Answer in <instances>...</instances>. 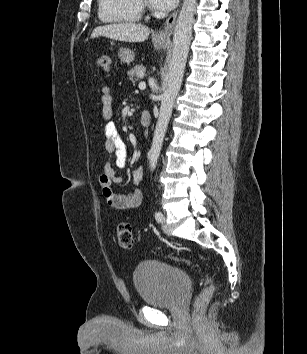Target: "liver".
Wrapping results in <instances>:
<instances>
[{"label":"liver","instance_id":"liver-1","mask_svg":"<svg viewBox=\"0 0 307 354\" xmlns=\"http://www.w3.org/2000/svg\"><path fill=\"white\" fill-rule=\"evenodd\" d=\"M150 34V29L136 23H115L95 28L91 38L107 37L123 42H144Z\"/></svg>","mask_w":307,"mask_h":354}]
</instances>
